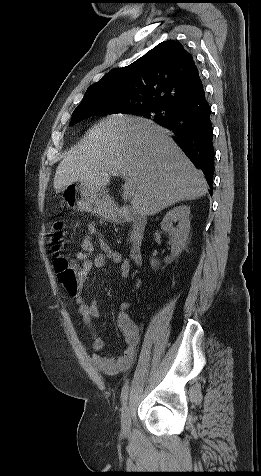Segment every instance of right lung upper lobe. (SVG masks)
<instances>
[{
    "mask_svg": "<svg viewBox=\"0 0 261 476\" xmlns=\"http://www.w3.org/2000/svg\"><path fill=\"white\" fill-rule=\"evenodd\" d=\"M203 90L193 56L181 43L168 40L90 85L78 107L107 104L134 110L163 105L176 109L194 101Z\"/></svg>",
    "mask_w": 261,
    "mask_h": 476,
    "instance_id": "right-lung-upper-lobe-1",
    "label": "right lung upper lobe"
}]
</instances>
